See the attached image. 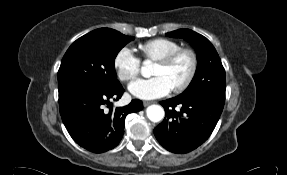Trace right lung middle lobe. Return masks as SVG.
I'll use <instances>...</instances> for the list:
<instances>
[{
  "instance_id": "dd1d6c3e",
  "label": "right lung middle lobe",
  "mask_w": 287,
  "mask_h": 175,
  "mask_svg": "<svg viewBox=\"0 0 287 175\" xmlns=\"http://www.w3.org/2000/svg\"><path fill=\"white\" fill-rule=\"evenodd\" d=\"M133 39L110 28H100L77 39L61 61L58 91L72 87L109 91L119 87L114 61Z\"/></svg>"
}]
</instances>
